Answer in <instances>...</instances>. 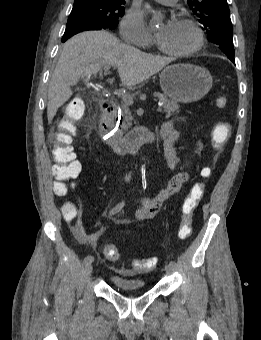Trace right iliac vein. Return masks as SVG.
<instances>
[{
  "instance_id": "63e3f726",
  "label": "right iliac vein",
  "mask_w": 261,
  "mask_h": 340,
  "mask_svg": "<svg viewBox=\"0 0 261 340\" xmlns=\"http://www.w3.org/2000/svg\"><path fill=\"white\" fill-rule=\"evenodd\" d=\"M93 271V266L91 263L85 264V275L89 276Z\"/></svg>"
}]
</instances>
